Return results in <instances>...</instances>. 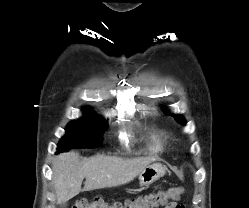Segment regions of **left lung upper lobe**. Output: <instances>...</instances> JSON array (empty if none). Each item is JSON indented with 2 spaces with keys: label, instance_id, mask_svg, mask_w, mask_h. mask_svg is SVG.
<instances>
[{
  "label": "left lung upper lobe",
  "instance_id": "5c2ea615",
  "mask_svg": "<svg viewBox=\"0 0 249 208\" xmlns=\"http://www.w3.org/2000/svg\"><path fill=\"white\" fill-rule=\"evenodd\" d=\"M164 112L167 113L168 115H171L172 117H174L175 120H176L177 122H179L180 124L185 125V121H184V119L182 118L181 115H174V114L169 113V112L166 111V110H164Z\"/></svg>",
  "mask_w": 249,
  "mask_h": 208
}]
</instances>
